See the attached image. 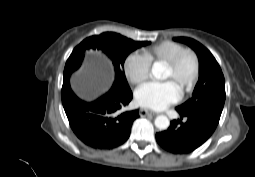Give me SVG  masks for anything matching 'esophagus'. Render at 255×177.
Here are the masks:
<instances>
[{
    "label": "esophagus",
    "mask_w": 255,
    "mask_h": 177,
    "mask_svg": "<svg viewBox=\"0 0 255 177\" xmlns=\"http://www.w3.org/2000/svg\"><path fill=\"white\" fill-rule=\"evenodd\" d=\"M138 113L140 116H155V115H157L155 112L150 111L148 109H144V108H140Z\"/></svg>",
    "instance_id": "1"
}]
</instances>
